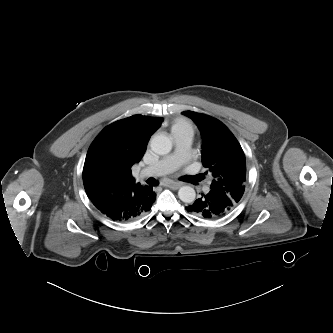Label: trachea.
I'll return each instance as SVG.
<instances>
[{"label":"trachea","mask_w":333,"mask_h":333,"mask_svg":"<svg viewBox=\"0 0 333 333\" xmlns=\"http://www.w3.org/2000/svg\"><path fill=\"white\" fill-rule=\"evenodd\" d=\"M197 178H198V179H200V177H199V176H198ZM150 184H151V185H156V184H157V182H156L155 180H152V181H150Z\"/></svg>","instance_id":"obj_1"}]
</instances>
